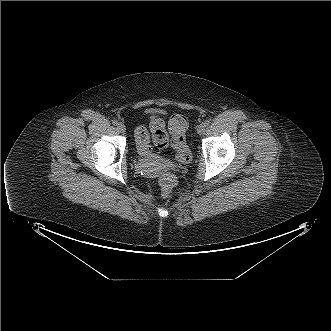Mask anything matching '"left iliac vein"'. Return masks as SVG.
<instances>
[{
    "label": "left iliac vein",
    "mask_w": 331,
    "mask_h": 331,
    "mask_svg": "<svg viewBox=\"0 0 331 331\" xmlns=\"http://www.w3.org/2000/svg\"><path fill=\"white\" fill-rule=\"evenodd\" d=\"M206 126L203 124H200L197 128V133L199 135H203L205 133Z\"/></svg>",
    "instance_id": "left-iliac-vein-1"
}]
</instances>
